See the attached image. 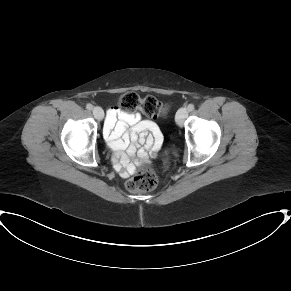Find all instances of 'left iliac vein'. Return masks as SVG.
<instances>
[{
	"label": "left iliac vein",
	"instance_id": "obj_1",
	"mask_svg": "<svg viewBox=\"0 0 291 291\" xmlns=\"http://www.w3.org/2000/svg\"><path fill=\"white\" fill-rule=\"evenodd\" d=\"M187 116H188V109L187 108H180L177 111L176 116H175L176 123L179 126H181L184 123Z\"/></svg>",
	"mask_w": 291,
	"mask_h": 291
}]
</instances>
